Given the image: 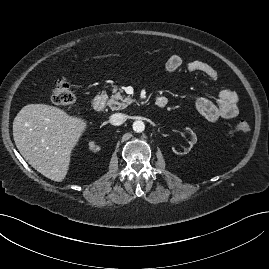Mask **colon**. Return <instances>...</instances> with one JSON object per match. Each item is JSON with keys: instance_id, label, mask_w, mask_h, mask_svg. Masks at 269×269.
<instances>
[{"instance_id": "colon-1", "label": "colon", "mask_w": 269, "mask_h": 269, "mask_svg": "<svg viewBox=\"0 0 269 269\" xmlns=\"http://www.w3.org/2000/svg\"><path fill=\"white\" fill-rule=\"evenodd\" d=\"M51 98L53 103L62 109H70L76 102V94L72 85L63 79L55 82L51 90ZM250 130V124L245 120H240L231 128L230 133L246 135Z\"/></svg>"}]
</instances>
